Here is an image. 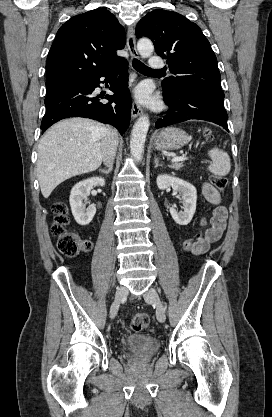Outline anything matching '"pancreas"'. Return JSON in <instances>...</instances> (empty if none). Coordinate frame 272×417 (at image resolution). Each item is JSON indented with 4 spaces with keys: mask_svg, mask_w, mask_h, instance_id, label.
I'll return each mask as SVG.
<instances>
[{
    "mask_svg": "<svg viewBox=\"0 0 272 417\" xmlns=\"http://www.w3.org/2000/svg\"><path fill=\"white\" fill-rule=\"evenodd\" d=\"M181 167H183V164H182V163H179V162H175V163L172 165V168H173V169H176V170H179Z\"/></svg>",
    "mask_w": 272,
    "mask_h": 417,
    "instance_id": "pancreas-1",
    "label": "pancreas"
}]
</instances>
